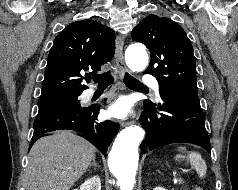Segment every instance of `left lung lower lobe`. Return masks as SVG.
<instances>
[{
  "label": "left lung lower lobe",
  "instance_id": "0a47b994",
  "mask_svg": "<svg viewBox=\"0 0 238 190\" xmlns=\"http://www.w3.org/2000/svg\"><path fill=\"white\" fill-rule=\"evenodd\" d=\"M162 102L144 100L140 122L147 131L142 153L172 143H191L211 152L198 95L162 93Z\"/></svg>",
  "mask_w": 238,
  "mask_h": 190
}]
</instances>
